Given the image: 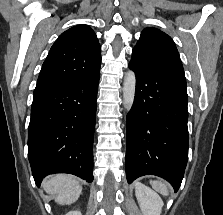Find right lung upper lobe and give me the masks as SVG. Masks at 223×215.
Returning a JSON list of instances; mask_svg holds the SVG:
<instances>
[{
	"instance_id": "right-lung-upper-lobe-1",
	"label": "right lung upper lobe",
	"mask_w": 223,
	"mask_h": 215,
	"mask_svg": "<svg viewBox=\"0 0 223 215\" xmlns=\"http://www.w3.org/2000/svg\"><path fill=\"white\" fill-rule=\"evenodd\" d=\"M101 47L94 31L77 25L63 32L51 47L40 71L34 95L79 82L100 69Z\"/></svg>"
}]
</instances>
